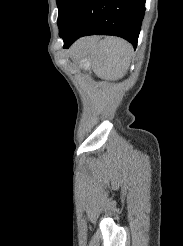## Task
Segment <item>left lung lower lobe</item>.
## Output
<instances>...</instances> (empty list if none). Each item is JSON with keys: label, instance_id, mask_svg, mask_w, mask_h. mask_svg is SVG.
I'll return each mask as SVG.
<instances>
[{"label": "left lung lower lobe", "instance_id": "0a47b994", "mask_svg": "<svg viewBox=\"0 0 183 246\" xmlns=\"http://www.w3.org/2000/svg\"><path fill=\"white\" fill-rule=\"evenodd\" d=\"M146 0H74L59 28L64 48L86 35L119 36L136 48Z\"/></svg>", "mask_w": 183, "mask_h": 246}]
</instances>
